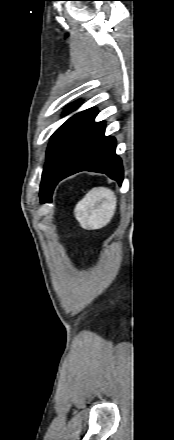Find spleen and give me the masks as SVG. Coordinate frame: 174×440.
Segmentation results:
<instances>
[{
  "label": "spleen",
  "mask_w": 174,
  "mask_h": 440,
  "mask_svg": "<svg viewBox=\"0 0 174 440\" xmlns=\"http://www.w3.org/2000/svg\"><path fill=\"white\" fill-rule=\"evenodd\" d=\"M116 205V196L111 189L94 187L77 204L75 216L84 229H100L111 221Z\"/></svg>",
  "instance_id": "obj_1"
}]
</instances>
